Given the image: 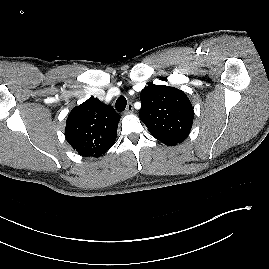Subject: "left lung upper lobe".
<instances>
[{
	"label": "left lung upper lobe",
	"mask_w": 269,
	"mask_h": 269,
	"mask_svg": "<svg viewBox=\"0 0 269 269\" xmlns=\"http://www.w3.org/2000/svg\"><path fill=\"white\" fill-rule=\"evenodd\" d=\"M140 99V119L154 138L168 146L177 145L187 138L194 112L183 91L152 83L141 91Z\"/></svg>",
	"instance_id": "left-lung-upper-lobe-1"
}]
</instances>
